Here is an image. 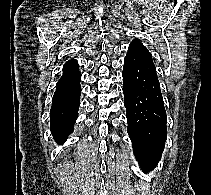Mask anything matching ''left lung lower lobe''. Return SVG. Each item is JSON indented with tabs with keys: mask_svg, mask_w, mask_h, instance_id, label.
Segmentation results:
<instances>
[{
	"mask_svg": "<svg viewBox=\"0 0 211 195\" xmlns=\"http://www.w3.org/2000/svg\"><path fill=\"white\" fill-rule=\"evenodd\" d=\"M124 104L128 134L141 169L147 173L160 161L166 142V111L153 63L125 58Z\"/></svg>",
	"mask_w": 211,
	"mask_h": 195,
	"instance_id": "obj_1",
	"label": "left lung lower lobe"
}]
</instances>
